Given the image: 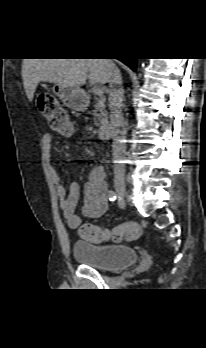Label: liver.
Instances as JSON below:
<instances>
[{"label":"liver","instance_id":"liver-1","mask_svg":"<svg viewBox=\"0 0 206 348\" xmlns=\"http://www.w3.org/2000/svg\"><path fill=\"white\" fill-rule=\"evenodd\" d=\"M22 78L27 98L32 101L40 82L80 88L88 78L92 83L105 84L109 67L105 59H24Z\"/></svg>","mask_w":206,"mask_h":348}]
</instances>
